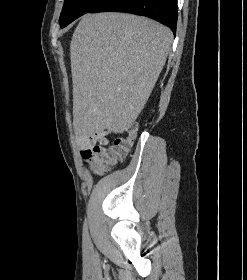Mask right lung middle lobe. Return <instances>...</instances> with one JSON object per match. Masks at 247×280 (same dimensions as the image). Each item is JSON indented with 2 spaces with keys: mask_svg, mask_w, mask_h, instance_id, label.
Listing matches in <instances>:
<instances>
[{
  "mask_svg": "<svg viewBox=\"0 0 247 280\" xmlns=\"http://www.w3.org/2000/svg\"><path fill=\"white\" fill-rule=\"evenodd\" d=\"M101 1L102 0H65L59 20L61 28L66 27L83 14L91 12Z\"/></svg>",
  "mask_w": 247,
  "mask_h": 280,
  "instance_id": "dd1d6c3e",
  "label": "right lung middle lobe"
}]
</instances>
